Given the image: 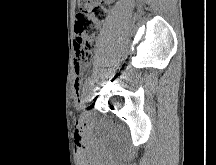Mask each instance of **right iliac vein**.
<instances>
[{
	"label": "right iliac vein",
	"instance_id": "obj_1",
	"mask_svg": "<svg viewBox=\"0 0 216 165\" xmlns=\"http://www.w3.org/2000/svg\"><path fill=\"white\" fill-rule=\"evenodd\" d=\"M95 81L93 80V82H92V84H91V89L89 90V99L84 103L83 102V104L81 105L83 108L85 107V106H87L89 103H90V101L92 100L91 98L94 96V83Z\"/></svg>",
	"mask_w": 216,
	"mask_h": 165
}]
</instances>
